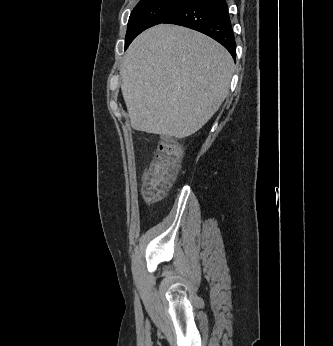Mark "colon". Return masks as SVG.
<instances>
[{"label":"colon","instance_id":"colon-1","mask_svg":"<svg viewBox=\"0 0 333 346\" xmlns=\"http://www.w3.org/2000/svg\"><path fill=\"white\" fill-rule=\"evenodd\" d=\"M184 150L180 143L163 137L157 151L142 174V191L146 201H160L171 186Z\"/></svg>","mask_w":333,"mask_h":346}]
</instances>
